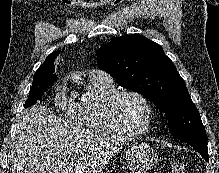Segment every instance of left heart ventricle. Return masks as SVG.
I'll list each match as a JSON object with an SVG mask.
<instances>
[{
	"instance_id": "b2bd125f",
	"label": "left heart ventricle",
	"mask_w": 219,
	"mask_h": 173,
	"mask_svg": "<svg viewBox=\"0 0 219 173\" xmlns=\"http://www.w3.org/2000/svg\"><path fill=\"white\" fill-rule=\"evenodd\" d=\"M117 115L123 128L129 131H139L144 128L148 113L139 98L127 95L120 100Z\"/></svg>"
}]
</instances>
